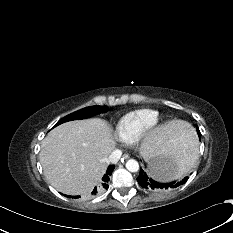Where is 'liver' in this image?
Wrapping results in <instances>:
<instances>
[{"instance_id": "liver-1", "label": "liver", "mask_w": 233, "mask_h": 233, "mask_svg": "<svg viewBox=\"0 0 233 233\" xmlns=\"http://www.w3.org/2000/svg\"><path fill=\"white\" fill-rule=\"evenodd\" d=\"M183 129V122L171 121L156 128L142 143L146 160L159 151L172 153ZM115 146L112 129L98 118L64 123L44 138L40 162L51 185L68 195L89 192L101 180Z\"/></svg>"}]
</instances>
